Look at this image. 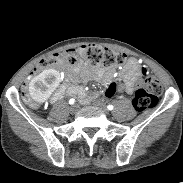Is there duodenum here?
<instances>
[{
  "mask_svg": "<svg viewBox=\"0 0 183 183\" xmlns=\"http://www.w3.org/2000/svg\"><path fill=\"white\" fill-rule=\"evenodd\" d=\"M70 94H75L76 96L79 97L80 100L84 101L85 104L89 105L92 103V98L89 97V94L87 91H82L81 89H76V88H71L69 90Z\"/></svg>",
  "mask_w": 183,
  "mask_h": 183,
  "instance_id": "obj_1",
  "label": "duodenum"
}]
</instances>
